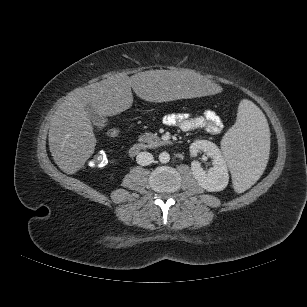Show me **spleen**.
Returning a JSON list of instances; mask_svg holds the SVG:
<instances>
[{
	"mask_svg": "<svg viewBox=\"0 0 307 307\" xmlns=\"http://www.w3.org/2000/svg\"><path fill=\"white\" fill-rule=\"evenodd\" d=\"M221 147L237 192L265 171L271 156L269 128L264 114L253 102H240L237 120L223 137Z\"/></svg>",
	"mask_w": 307,
	"mask_h": 307,
	"instance_id": "3e777b00",
	"label": "spleen"
}]
</instances>
